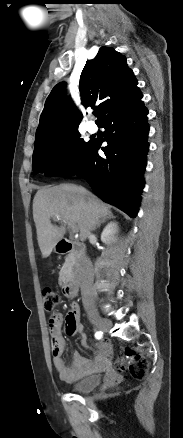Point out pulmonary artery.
<instances>
[{
    "label": "pulmonary artery",
    "mask_w": 183,
    "mask_h": 438,
    "mask_svg": "<svg viewBox=\"0 0 183 438\" xmlns=\"http://www.w3.org/2000/svg\"><path fill=\"white\" fill-rule=\"evenodd\" d=\"M86 128L90 133H95L97 131V126L94 122H88Z\"/></svg>",
    "instance_id": "obj_1"
}]
</instances>
